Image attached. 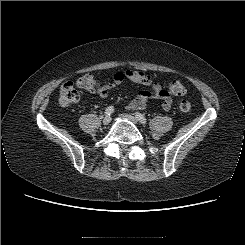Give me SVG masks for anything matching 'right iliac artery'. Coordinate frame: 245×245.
I'll list each match as a JSON object with an SVG mask.
<instances>
[{
  "label": "right iliac artery",
  "instance_id": "1",
  "mask_svg": "<svg viewBox=\"0 0 245 245\" xmlns=\"http://www.w3.org/2000/svg\"><path fill=\"white\" fill-rule=\"evenodd\" d=\"M113 112H114V107L113 106H109L105 110V115L110 116Z\"/></svg>",
  "mask_w": 245,
  "mask_h": 245
}]
</instances>
